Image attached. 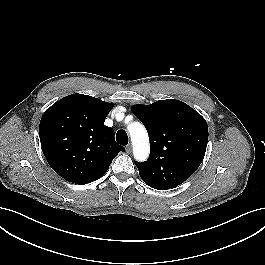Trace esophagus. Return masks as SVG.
I'll return each instance as SVG.
<instances>
[{"instance_id": "esophagus-1", "label": "esophagus", "mask_w": 265, "mask_h": 265, "mask_svg": "<svg viewBox=\"0 0 265 265\" xmlns=\"http://www.w3.org/2000/svg\"><path fill=\"white\" fill-rule=\"evenodd\" d=\"M131 151H132V146H131V144H128V145L126 146V152H127V153H131Z\"/></svg>"}]
</instances>
